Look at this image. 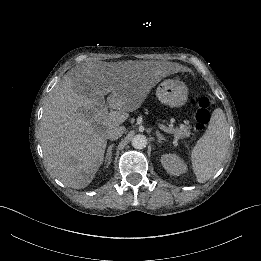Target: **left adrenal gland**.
I'll use <instances>...</instances> for the list:
<instances>
[{"instance_id": "obj_1", "label": "left adrenal gland", "mask_w": 261, "mask_h": 261, "mask_svg": "<svg viewBox=\"0 0 261 261\" xmlns=\"http://www.w3.org/2000/svg\"><path fill=\"white\" fill-rule=\"evenodd\" d=\"M156 136H157L158 143L166 142V139L160 135L159 131H156Z\"/></svg>"}]
</instances>
